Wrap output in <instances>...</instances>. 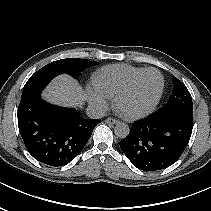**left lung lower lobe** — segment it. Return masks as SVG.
Instances as JSON below:
<instances>
[{"label": "left lung lower lobe", "mask_w": 211, "mask_h": 211, "mask_svg": "<svg viewBox=\"0 0 211 211\" xmlns=\"http://www.w3.org/2000/svg\"><path fill=\"white\" fill-rule=\"evenodd\" d=\"M193 119L183 115L150 116L132 124L120 147L130 162L144 171L174 164L185 150Z\"/></svg>", "instance_id": "obj_1"}]
</instances>
